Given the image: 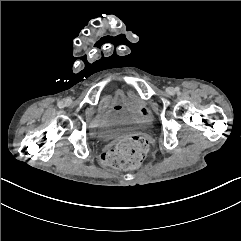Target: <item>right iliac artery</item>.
I'll return each instance as SVG.
<instances>
[{"label": "right iliac artery", "instance_id": "right-iliac-artery-1", "mask_svg": "<svg viewBox=\"0 0 241 241\" xmlns=\"http://www.w3.org/2000/svg\"><path fill=\"white\" fill-rule=\"evenodd\" d=\"M57 105H58L59 108H63L64 107L63 102H61V101H59Z\"/></svg>", "mask_w": 241, "mask_h": 241}]
</instances>
